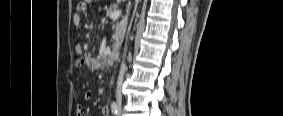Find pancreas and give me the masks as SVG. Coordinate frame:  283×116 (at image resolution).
Here are the masks:
<instances>
[{"label":"pancreas","instance_id":"1","mask_svg":"<svg viewBox=\"0 0 283 116\" xmlns=\"http://www.w3.org/2000/svg\"><path fill=\"white\" fill-rule=\"evenodd\" d=\"M117 8H118V5H116V4L111 5V6L107 9V16H109L111 13H113L114 11H116ZM121 40H122L121 37H119V38H117L115 41H116L117 43H120Z\"/></svg>","mask_w":283,"mask_h":116}]
</instances>
